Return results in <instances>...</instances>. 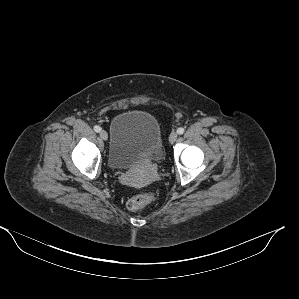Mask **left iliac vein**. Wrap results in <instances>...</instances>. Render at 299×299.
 I'll return each mask as SVG.
<instances>
[{
  "mask_svg": "<svg viewBox=\"0 0 299 299\" xmlns=\"http://www.w3.org/2000/svg\"><path fill=\"white\" fill-rule=\"evenodd\" d=\"M177 137H178L177 133L173 132V133H171L170 136H169V141H170L171 143H173V142L176 141Z\"/></svg>",
  "mask_w": 299,
  "mask_h": 299,
  "instance_id": "4c4485c4",
  "label": "left iliac vein"
}]
</instances>
